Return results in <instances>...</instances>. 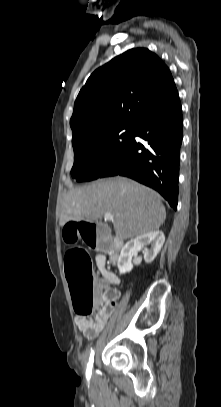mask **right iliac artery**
Listing matches in <instances>:
<instances>
[{"instance_id":"obj_1","label":"right iliac artery","mask_w":221,"mask_h":407,"mask_svg":"<svg viewBox=\"0 0 221 407\" xmlns=\"http://www.w3.org/2000/svg\"><path fill=\"white\" fill-rule=\"evenodd\" d=\"M93 362H94V351L92 350L90 353L89 362L87 364L86 369V377L88 379L91 377Z\"/></svg>"}]
</instances>
